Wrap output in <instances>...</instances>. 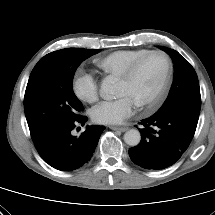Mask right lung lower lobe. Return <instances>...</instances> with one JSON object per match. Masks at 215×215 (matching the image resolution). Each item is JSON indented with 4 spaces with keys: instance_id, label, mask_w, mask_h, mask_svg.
Returning a JSON list of instances; mask_svg holds the SVG:
<instances>
[{
    "instance_id": "98d812e1",
    "label": "right lung lower lobe",
    "mask_w": 215,
    "mask_h": 215,
    "mask_svg": "<svg viewBox=\"0 0 215 215\" xmlns=\"http://www.w3.org/2000/svg\"><path fill=\"white\" fill-rule=\"evenodd\" d=\"M87 117L76 120L48 133L34 142L42 159L50 166L61 171H73L87 163L96 149L104 126H88L79 136H73L76 124L84 123Z\"/></svg>"
}]
</instances>
